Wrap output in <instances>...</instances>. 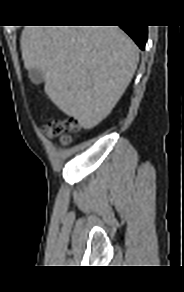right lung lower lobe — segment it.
Instances as JSON below:
<instances>
[{"label": "right lung lower lobe", "instance_id": "1", "mask_svg": "<svg viewBox=\"0 0 184 292\" xmlns=\"http://www.w3.org/2000/svg\"><path fill=\"white\" fill-rule=\"evenodd\" d=\"M142 49H145V44L148 36L147 26H120Z\"/></svg>", "mask_w": 184, "mask_h": 292}]
</instances>
